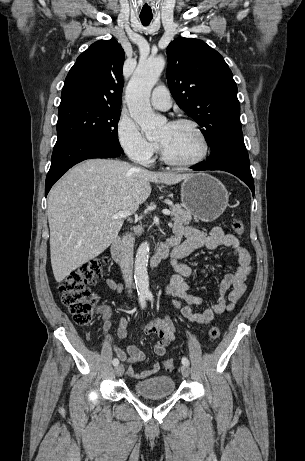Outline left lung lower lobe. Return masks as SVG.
<instances>
[{
	"label": "left lung lower lobe",
	"instance_id": "0a47b994",
	"mask_svg": "<svg viewBox=\"0 0 305 461\" xmlns=\"http://www.w3.org/2000/svg\"><path fill=\"white\" fill-rule=\"evenodd\" d=\"M191 168L195 171L222 170L232 173L249 186L254 196V182L241 129L225 134L214 158H208Z\"/></svg>",
	"mask_w": 305,
	"mask_h": 461
}]
</instances>
